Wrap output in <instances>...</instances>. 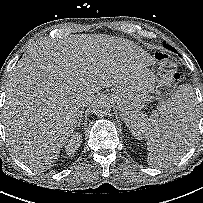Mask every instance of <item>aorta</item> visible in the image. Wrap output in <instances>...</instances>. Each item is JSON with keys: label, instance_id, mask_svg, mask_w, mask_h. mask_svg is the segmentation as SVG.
<instances>
[{"label": "aorta", "instance_id": "aorta-1", "mask_svg": "<svg viewBox=\"0 0 203 203\" xmlns=\"http://www.w3.org/2000/svg\"><path fill=\"white\" fill-rule=\"evenodd\" d=\"M95 115L99 117L107 116L111 112V104L108 100H98L93 105Z\"/></svg>", "mask_w": 203, "mask_h": 203}]
</instances>
